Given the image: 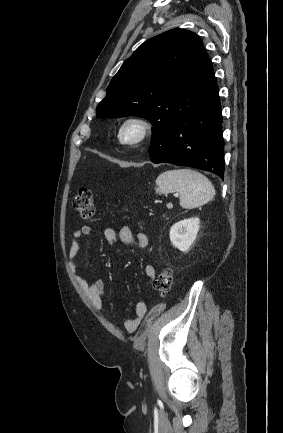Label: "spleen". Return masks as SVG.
<instances>
[{"label":"spleen","mask_w":283,"mask_h":433,"mask_svg":"<svg viewBox=\"0 0 283 433\" xmlns=\"http://www.w3.org/2000/svg\"><path fill=\"white\" fill-rule=\"evenodd\" d=\"M156 192L168 194L178 192L183 208H196L210 202L215 196V188L204 174L190 168L165 170L156 178Z\"/></svg>","instance_id":"1"}]
</instances>
